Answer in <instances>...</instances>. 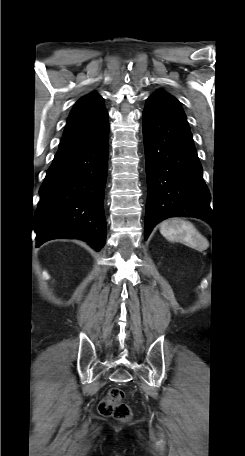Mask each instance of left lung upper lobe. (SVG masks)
I'll list each match as a JSON object with an SVG mask.
<instances>
[{"mask_svg": "<svg viewBox=\"0 0 245 456\" xmlns=\"http://www.w3.org/2000/svg\"><path fill=\"white\" fill-rule=\"evenodd\" d=\"M152 97H156V98H161V99H164V100H170V101H173L177 104H179V101L173 97L172 95H170L169 93L163 91V90H157L154 94L151 95Z\"/></svg>", "mask_w": 245, "mask_h": 456, "instance_id": "obj_1", "label": "left lung upper lobe"}]
</instances>
